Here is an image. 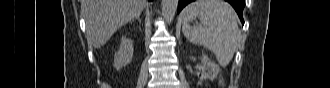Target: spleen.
Here are the masks:
<instances>
[{
	"mask_svg": "<svg viewBox=\"0 0 330 88\" xmlns=\"http://www.w3.org/2000/svg\"><path fill=\"white\" fill-rule=\"evenodd\" d=\"M204 26H190L195 18ZM182 31L193 44L212 51L218 63L225 67L237 49L240 31L234 9L222 0H197L182 12Z\"/></svg>",
	"mask_w": 330,
	"mask_h": 88,
	"instance_id": "obj_1",
	"label": "spleen"
}]
</instances>
